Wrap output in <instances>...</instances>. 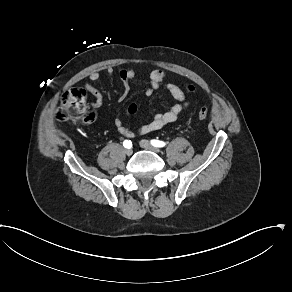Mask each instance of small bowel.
Wrapping results in <instances>:
<instances>
[{
  "label": "small bowel",
  "instance_id": "1",
  "mask_svg": "<svg viewBox=\"0 0 292 292\" xmlns=\"http://www.w3.org/2000/svg\"><path fill=\"white\" fill-rule=\"evenodd\" d=\"M140 72L148 73L149 87L145 90L146 96H152L159 87L163 86L175 100V103L166 111L155 114L150 122L144 124L138 129L139 134H148L175 122L179 115L189 106V100L180 86L166 81L167 75L162 69L147 71L143 68H123L118 72V76L123 82V91L119 97L120 101L127 97L130 91V83ZM113 73L114 71L112 68L106 69V74L112 75ZM100 78V72L92 71L88 75V81L82 84V88L94 98V102L92 103L93 107H100L103 102L101 91L93 85V83L99 81ZM114 125L121 135L126 137H132L134 135L133 131L123 125L122 120L119 117L114 119Z\"/></svg>",
  "mask_w": 292,
  "mask_h": 292
}]
</instances>
